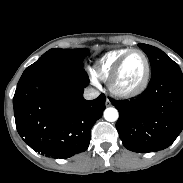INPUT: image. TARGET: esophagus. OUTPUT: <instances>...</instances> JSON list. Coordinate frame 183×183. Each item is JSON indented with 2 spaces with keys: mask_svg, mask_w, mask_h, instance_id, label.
<instances>
[{
  "mask_svg": "<svg viewBox=\"0 0 183 183\" xmlns=\"http://www.w3.org/2000/svg\"><path fill=\"white\" fill-rule=\"evenodd\" d=\"M106 106L109 107L111 106V101L109 100V98L106 99V102H105Z\"/></svg>",
  "mask_w": 183,
  "mask_h": 183,
  "instance_id": "esophagus-1",
  "label": "esophagus"
}]
</instances>
